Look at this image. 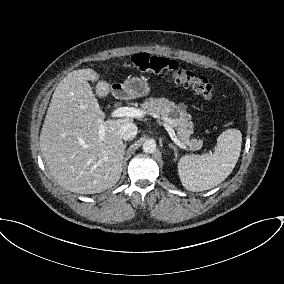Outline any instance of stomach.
Segmentation results:
<instances>
[{
  "label": "stomach",
  "mask_w": 284,
  "mask_h": 284,
  "mask_svg": "<svg viewBox=\"0 0 284 284\" xmlns=\"http://www.w3.org/2000/svg\"><path fill=\"white\" fill-rule=\"evenodd\" d=\"M114 88L122 89L129 98L146 96L150 92L147 81L138 77L129 78L123 84H117Z\"/></svg>",
  "instance_id": "0dacf381"
}]
</instances>
